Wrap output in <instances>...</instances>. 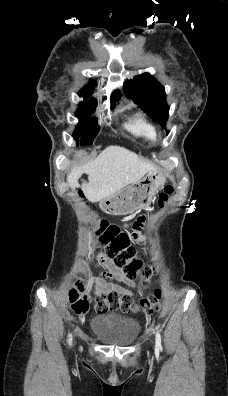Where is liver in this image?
Listing matches in <instances>:
<instances>
[{
  "label": "liver",
  "mask_w": 228,
  "mask_h": 396,
  "mask_svg": "<svg viewBox=\"0 0 228 396\" xmlns=\"http://www.w3.org/2000/svg\"><path fill=\"white\" fill-rule=\"evenodd\" d=\"M153 171H157L156 166L134 152L120 146H108L94 160L74 166L67 180L71 189H75L80 187L78 180L82 174H87L89 182H83L81 187L87 198L95 202Z\"/></svg>",
  "instance_id": "liver-1"
}]
</instances>
